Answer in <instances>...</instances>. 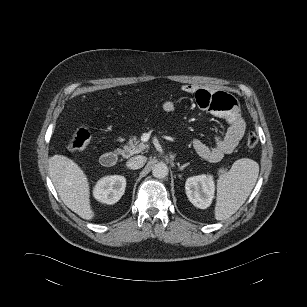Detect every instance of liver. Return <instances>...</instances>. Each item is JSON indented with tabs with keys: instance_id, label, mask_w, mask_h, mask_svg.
Masks as SVG:
<instances>
[{
	"instance_id": "obj_1",
	"label": "liver",
	"mask_w": 307,
	"mask_h": 307,
	"mask_svg": "<svg viewBox=\"0 0 307 307\" xmlns=\"http://www.w3.org/2000/svg\"><path fill=\"white\" fill-rule=\"evenodd\" d=\"M49 175L63 203L81 218L91 220L90 189L84 171L70 158L55 155L49 158Z\"/></svg>"
}]
</instances>
